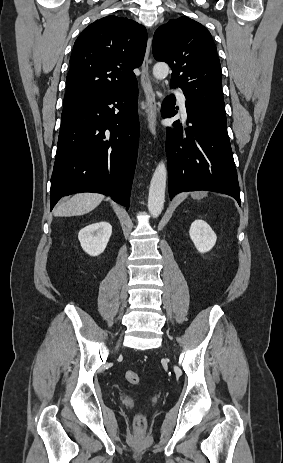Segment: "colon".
Wrapping results in <instances>:
<instances>
[{
    "label": "colon",
    "instance_id": "colon-1",
    "mask_svg": "<svg viewBox=\"0 0 283 463\" xmlns=\"http://www.w3.org/2000/svg\"><path fill=\"white\" fill-rule=\"evenodd\" d=\"M126 380L131 384H137L139 382V376L135 371L128 370L125 373ZM135 427L138 434H141L145 424V418L143 415L138 414L135 417Z\"/></svg>",
    "mask_w": 283,
    "mask_h": 463
}]
</instances>
